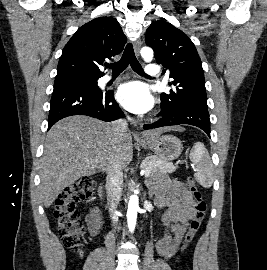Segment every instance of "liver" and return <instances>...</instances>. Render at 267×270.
<instances>
[{"mask_svg":"<svg viewBox=\"0 0 267 270\" xmlns=\"http://www.w3.org/2000/svg\"><path fill=\"white\" fill-rule=\"evenodd\" d=\"M168 130L160 128L144 133L156 138ZM133 157L132 136L126 132L118 140L112 124L88 116L76 115L57 122L47 133L40 160V193L45 207L76 180L99 172H108L113 161L126 168ZM87 161H92L88 163Z\"/></svg>","mask_w":267,"mask_h":270,"instance_id":"obj_1","label":"liver"}]
</instances>
